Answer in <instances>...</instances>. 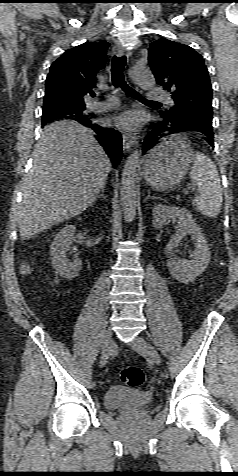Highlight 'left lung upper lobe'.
I'll list each match as a JSON object with an SVG mask.
<instances>
[{
    "instance_id": "left-lung-upper-lobe-1",
    "label": "left lung upper lobe",
    "mask_w": 238,
    "mask_h": 476,
    "mask_svg": "<svg viewBox=\"0 0 238 476\" xmlns=\"http://www.w3.org/2000/svg\"><path fill=\"white\" fill-rule=\"evenodd\" d=\"M149 65L156 82L171 93L175 106L160 114L212 118V87L202 56L191 47L165 38L150 44Z\"/></svg>"
}]
</instances>
